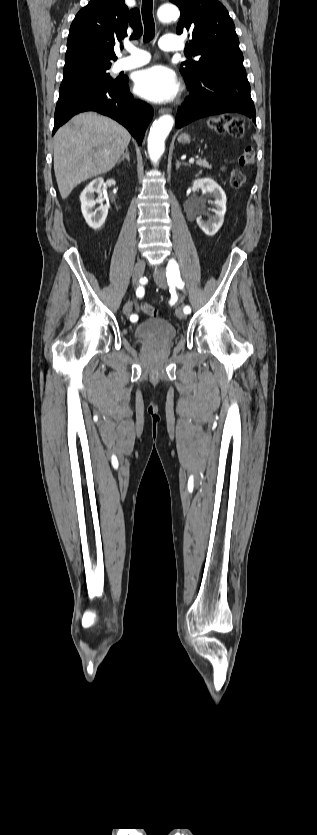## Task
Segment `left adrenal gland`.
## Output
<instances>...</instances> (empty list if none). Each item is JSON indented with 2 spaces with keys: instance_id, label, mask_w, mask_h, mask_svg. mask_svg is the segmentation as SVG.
I'll return each mask as SVG.
<instances>
[{
  "instance_id": "left-adrenal-gland-1",
  "label": "left adrenal gland",
  "mask_w": 317,
  "mask_h": 835,
  "mask_svg": "<svg viewBox=\"0 0 317 835\" xmlns=\"http://www.w3.org/2000/svg\"><path fill=\"white\" fill-rule=\"evenodd\" d=\"M181 165L190 166V164H188V163H184V162L181 163L177 160L176 161V170H178Z\"/></svg>"
}]
</instances>
